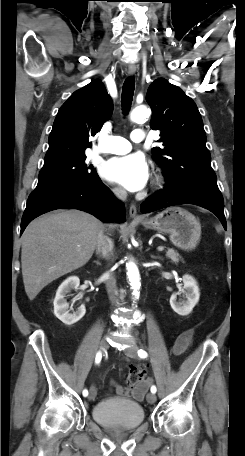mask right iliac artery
<instances>
[{"instance_id": "82829eb1", "label": "right iliac artery", "mask_w": 245, "mask_h": 456, "mask_svg": "<svg viewBox=\"0 0 245 456\" xmlns=\"http://www.w3.org/2000/svg\"><path fill=\"white\" fill-rule=\"evenodd\" d=\"M101 359H102V354H101V352L99 351V352L96 354L95 363H96V364L100 363ZM87 395H88V390H87V389H84V390H83V396L86 397Z\"/></svg>"}]
</instances>
